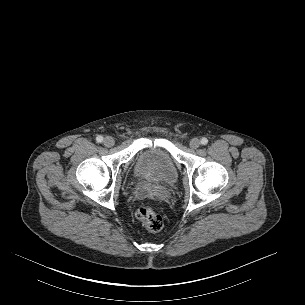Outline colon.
<instances>
[{
    "mask_svg": "<svg viewBox=\"0 0 305 305\" xmlns=\"http://www.w3.org/2000/svg\"><path fill=\"white\" fill-rule=\"evenodd\" d=\"M136 218L143 226L151 231L157 232L163 227V218L149 205H142L136 211Z\"/></svg>",
    "mask_w": 305,
    "mask_h": 305,
    "instance_id": "colon-1",
    "label": "colon"
}]
</instances>
